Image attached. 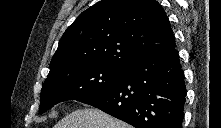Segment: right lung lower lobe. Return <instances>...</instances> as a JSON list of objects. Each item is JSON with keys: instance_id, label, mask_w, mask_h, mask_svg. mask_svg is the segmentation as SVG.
Returning <instances> with one entry per match:
<instances>
[{"instance_id": "98d812e1", "label": "right lung lower lobe", "mask_w": 221, "mask_h": 128, "mask_svg": "<svg viewBox=\"0 0 221 128\" xmlns=\"http://www.w3.org/2000/svg\"><path fill=\"white\" fill-rule=\"evenodd\" d=\"M184 73L173 48L144 57L110 87L80 102L135 128H182Z\"/></svg>"}]
</instances>
